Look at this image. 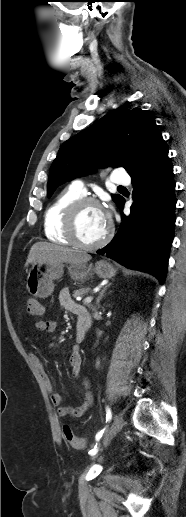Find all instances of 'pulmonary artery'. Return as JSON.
Listing matches in <instances>:
<instances>
[{
  "instance_id": "1",
  "label": "pulmonary artery",
  "mask_w": 186,
  "mask_h": 517,
  "mask_svg": "<svg viewBox=\"0 0 186 517\" xmlns=\"http://www.w3.org/2000/svg\"><path fill=\"white\" fill-rule=\"evenodd\" d=\"M111 181L117 185H128L130 183V176L123 169H116L112 173ZM72 187L78 192L85 194L86 188L80 180H75Z\"/></svg>"
}]
</instances>
